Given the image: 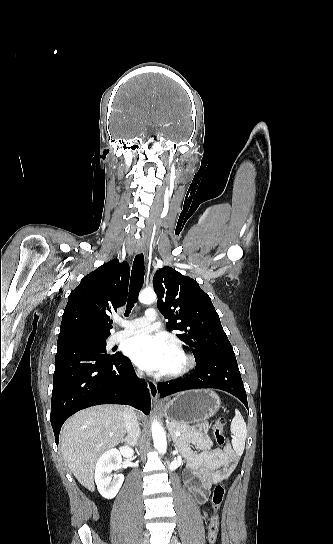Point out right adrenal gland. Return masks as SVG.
<instances>
[{
  "label": "right adrenal gland",
  "instance_id": "1",
  "mask_svg": "<svg viewBox=\"0 0 333 544\" xmlns=\"http://www.w3.org/2000/svg\"><path fill=\"white\" fill-rule=\"evenodd\" d=\"M123 443H125V444H129V443H130L128 437L124 438Z\"/></svg>",
  "mask_w": 333,
  "mask_h": 544
}]
</instances>
